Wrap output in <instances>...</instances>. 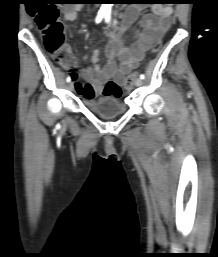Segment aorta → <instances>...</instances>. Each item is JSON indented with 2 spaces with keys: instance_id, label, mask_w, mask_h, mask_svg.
<instances>
[{
  "instance_id": "obj_1",
  "label": "aorta",
  "mask_w": 218,
  "mask_h": 257,
  "mask_svg": "<svg viewBox=\"0 0 218 257\" xmlns=\"http://www.w3.org/2000/svg\"><path fill=\"white\" fill-rule=\"evenodd\" d=\"M113 4H101L100 11L103 13H110Z\"/></svg>"
}]
</instances>
